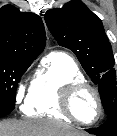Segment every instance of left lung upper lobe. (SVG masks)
Wrapping results in <instances>:
<instances>
[{"instance_id":"5c2ea615","label":"left lung upper lobe","mask_w":117,"mask_h":136,"mask_svg":"<svg viewBox=\"0 0 117 136\" xmlns=\"http://www.w3.org/2000/svg\"><path fill=\"white\" fill-rule=\"evenodd\" d=\"M45 22L58 44L72 50L93 83L108 115L117 113L114 57L101 20L80 0L45 13Z\"/></svg>"}]
</instances>
